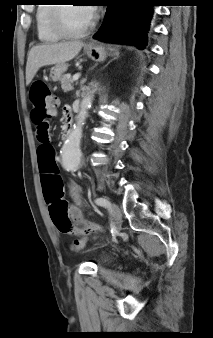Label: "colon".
<instances>
[{
	"label": "colon",
	"mask_w": 213,
	"mask_h": 338,
	"mask_svg": "<svg viewBox=\"0 0 213 338\" xmlns=\"http://www.w3.org/2000/svg\"><path fill=\"white\" fill-rule=\"evenodd\" d=\"M31 102V119L36 126V137L42 144L50 142L52 132L46 120L53 116L58 109V104L51 94L50 88L45 81H37L32 84L29 92ZM42 154L49 158L55 153V149L47 146L41 148ZM68 205L65 202H58L51 207V216L58 226H64L67 221ZM94 226L87 229V233L93 230ZM87 241L86 235L73 241L71 250L82 249Z\"/></svg>",
	"instance_id": "obj_1"
}]
</instances>
